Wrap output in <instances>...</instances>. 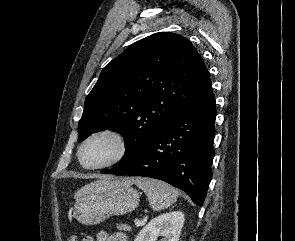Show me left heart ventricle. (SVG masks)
I'll list each match as a JSON object with an SVG mask.
<instances>
[{"label": "left heart ventricle", "instance_id": "left-heart-ventricle-1", "mask_svg": "<svg viewBox=\"0 0 295 241\" xmlns=\"http://www.w3.org/2000/svg\"><path fill=\"white\" fill-rule=\"evenodd\" d=\"M119 151L117 141L110 136H98L90 140L82 151L86 165H98L114 158Z\"/></svg>", "mask_w": 295, "mask_h": 241}]
</instances>
